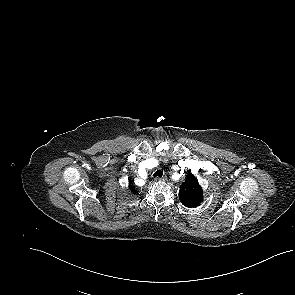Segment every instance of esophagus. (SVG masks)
Masks as SVG:
<instances>
[{
	"label": "esophagus",
	"instance_id": "1",
	"mask_svg": "<svg viewBox=\"0 0 295 295\" xmlns=\"http://www.w3.org/2000/svg\"><path fill=\"white\" fill-rule=\"evenodd\" d=\"M166 180V176H163L161 178L157 177L156 181H165Z\"/></svg>",
	"mask_w": 295,
	"mask_h": 295
}]
</instances>
